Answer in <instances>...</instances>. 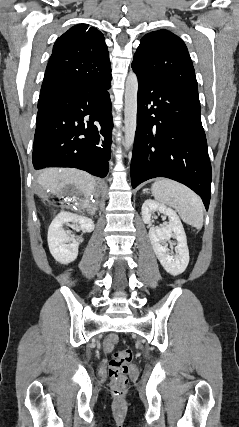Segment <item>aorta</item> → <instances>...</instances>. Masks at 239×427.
Returning a JSON list of instances; mask_svg holds the SVG:
<instances>
[{
    "instance_id": "1",
    "label": "aorta",
    "mask_w": 239,
    "mask_h": 427,
    "mask_svg": "<svg viewBox=\"0 0 239 427\" xmlns=\"http://www.w3.org/2000/svg\"><path fill=\"white\" fill-rule=\"evenodd\" d=\"M137 92V75L134 72H130L125 84V149L130 148L134 143L137 127Z\"/></svg>"
}]
</instances>
